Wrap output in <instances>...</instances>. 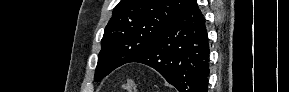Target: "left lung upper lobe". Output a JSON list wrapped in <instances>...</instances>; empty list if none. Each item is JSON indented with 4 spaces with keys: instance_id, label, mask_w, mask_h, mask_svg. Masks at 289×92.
Listing matches in <instances>:
<instances>
[{
    "instance_id": "5c2ea615",
    "label": "left lung upper lobe",
    "mask_w": 289,
    "mask_h": 92,
    "mask_svg": "<svg viewBox=\"0 0 289 92\" xmlns=\"http://www.w3.org/2000/svg\"><path fill=\"white\" fill-rule=\"evenodd\" d=\"M191 0H121L104 30L95 81L148 49Z\"/></svg>"
}]
</instances>
